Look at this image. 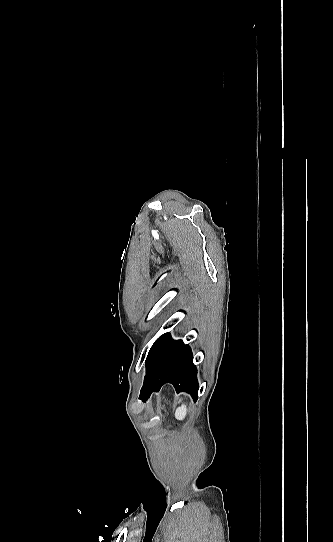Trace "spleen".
Instances as JSON below:
<instances>
[{
	"label": "spleen",
	"mask_w": 333,
	"mask_h": 542,
	"mask_svg": "<svg viewBox=\"0 0 333 542\" xmlns=\"http://www.w3.org/2000/svg\"><path fill=\"white\" fill-rule=\"evenodd\" d=\"M187 406L186 404H182V406H180V408H177L176 412H175V418L176 420H185L186 416H187Z\"/></svg>",
	"instance_id": "spleen-1"
}]
</instances>
